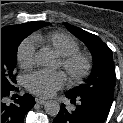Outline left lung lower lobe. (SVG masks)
<instances>
[{
  "label": "left lung lower lobe",
  "mask_w": 123,
  "mask_h": 123,
  "mask_svg": "<svg viewBox=\"0 0 123 123\" xmlns=\"http://www.w3.org/2000/svg\"><path fill=\"white\" fill-rule=\"evenodd\" d=\"M66 97L71 99V103L78 100L79 104L72 112L67 111L65 105L62 104L53 123H104L112 105V100L99 96H77L66 92Z\"/></svg>",
  "instance_id": "0a47b994"
}]
</instances>
